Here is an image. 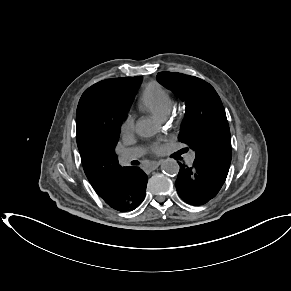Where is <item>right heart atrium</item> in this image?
Masks as SVG:
<instances>
[{
	"label": "right heart atrium",
	"mask_w": 291,
	"mask_h": 291,
	"mask_svg": "<svg viewBox=\"0 0 291 291\" xmlns=\"http://www.w3.org/2000/svg\"><path fill=\"white\" fill-rule=\"evenodd\" d=\"M121 134L127 136L134 130V117L131 114L126 115L121 123Z\"/></svg>",
	"instance_id": "1"
}]
</instances>
